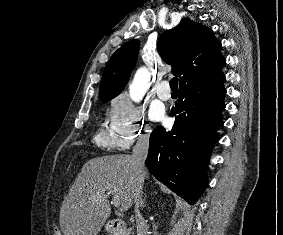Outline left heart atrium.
I'll return each mask as SVG.
<instances>
[{"label":"left heart atrium","mask_w":283,"mask_h":235,"mask_svg":"<svg viewBox=\"0 0 283 235\" xmlns=\"http://www.w3.org/2000/svg\"><path fill=\"white\" fill-rule=\"evenodd\" d=\"M151 117L155 121L163 120L164 119V113L160 109H154L151 112Z\"/></svg>","instance_id":"left-heart-atrium-1"}]
</instances>
